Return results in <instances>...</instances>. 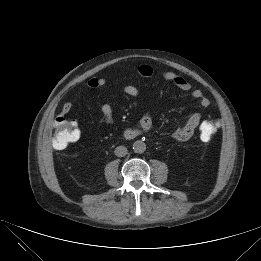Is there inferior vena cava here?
<instances>
[{
  "label": "inferior vena cava",
  "mask_w": 261,
  "mask_h": 261,
  "mask_svg": "<svg viewBox=\"0 0 261 261\" xmlns=\"http://www.w3.org/2000/svg\"><path fill=\"white\" fill-rule=\"evenodd\" d=\"M114 152L117 157H124L127 154V148L125 146H118Z\"/></svg>",
  "instance_id": "1"
}]
</instances>
